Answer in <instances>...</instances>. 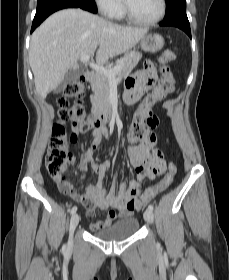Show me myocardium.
Instances as JSON below:
<instances>
[{"instance_id": "f54148a6", "label": "myocardium", "mask_w": 229, "mask_h": 280, "mask_svg": "<svg viewBox=\"0 0 229 280\" xmlns=\"http://www.w3.org/2000/svg\"><path fill=\"white\" fill-rule=\"evenodd\" d=\"M160 3H161V9H160L159 14L156 17L149 19V20H142V19L135 17L129 8L127 0H122V11H123L124 16L131 23L141 25V26H151V25H154V24L160 22L166 14V10H167L166 0H160Z\"/></svg>"}]
</instances>
